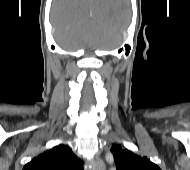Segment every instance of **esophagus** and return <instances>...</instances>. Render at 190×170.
Instances as JSON below:
<instances>
[{
	"label": "esophagus",
	"instance_id": "34e87169",
	"mask_svg": "<svg viewBox=\"0 0 190 170\" xmlns=\"http://www.w3.org/2000/svg\"><path fill=\"white\" fill-rule=\"evenodd\" d=\"M93 165H94V170H106L104 161L98 156H96L93 159Z\"/></svg>",
	"mask_w": 190,
	"mask_h": 170
}]
</instances>
